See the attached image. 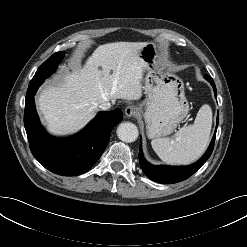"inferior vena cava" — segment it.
Here are the masks:
<instances>
[{"instance_id":"602c4592","label":"inferior vena cava","mask_w":247,"mask_h":247,"mask_svg":"<svg viewBox=\"0 0 247 247\" xmlns=\"http://www.w3.org/2000/svg\"><path fill=\"white\" fill-rule=\"evenodd\" d=\"M99 108L102 110H108L111 108V103L110 102H103L99 105Z\"/></svg>"}]
</instances>
